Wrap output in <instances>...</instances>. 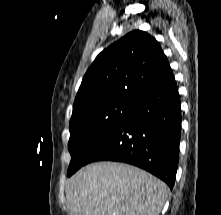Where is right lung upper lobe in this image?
<instances>
[{
    "mask_svg": "<svg viewBox=\"0 0 221 215\" xmlns=\"http://www.w3.org/2000/svg\"><path fill=\"white\" fill-rule=\"evenodd\" d=\"M173 79L158 41L134 30L96 57L83 77L73 107L106 100L135 102Z\"/></svg>",
    "mask_w": 221,
    "mask_h": 215,
    "instance_id": "right-lung-upper-lobe-1",
    "label": "right lung upper lobe"
}]
</instances>
